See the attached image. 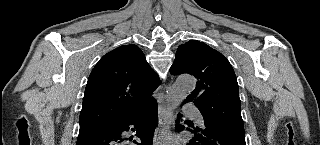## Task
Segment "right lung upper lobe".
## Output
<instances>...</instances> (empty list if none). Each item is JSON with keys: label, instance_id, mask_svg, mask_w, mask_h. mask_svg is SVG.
Wrapping results in <instances>:
<instances>
[{"label": "right lung upper lobe", "instance_id": "cb5924a9", "mask_svg": "<svg viewBox=\"0 0 320 145\" xmlns=\"http://www.w3.org/2000/svg\"><path fill=\"white\" fill-rule=\"evenodd\" d=\"M160 83L139 47L120 46L106 55L91 72L80 113V128L118 123L151 107Z\"/></svg>", "mask_w": 320, "mask_h": 145}]
</instances>
